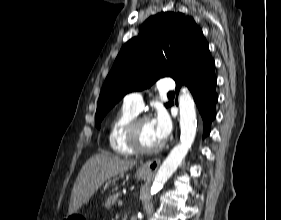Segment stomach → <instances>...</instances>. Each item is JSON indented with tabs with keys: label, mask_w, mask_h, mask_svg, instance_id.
<instances>
[{
	"label": "stomach",
	"mask_w": 281,
	"mask_h": 220,
	"mask_svg": "<svg viewBox=\"0 0 281 220\" xmlns=\"http://www.w3.org/2000/svg\"><path fill=\"white\" fill-rule=\"evenodd\" d=\"M152 176V171L147 167L146 164L140 166L136 173H135V177H137L138 179H149ZM82 219V216L78 215V214H71L68 215L66 217V220H80Z\"/></svg>",
	"instance_id": "stomach-1"
}]
</instances>
